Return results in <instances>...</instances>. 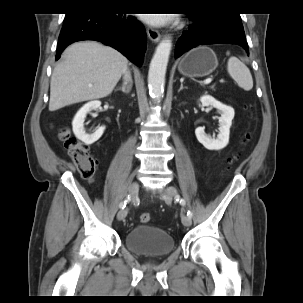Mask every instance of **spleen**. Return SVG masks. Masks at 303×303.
Masks as SVG:
<instances>
[{
	"label": "spleen",
	"mask_w": 303,
	"mask_h": 303,
	"mask_svg": "<svg viewBox=\"0 0 303 303\" xmlns=\"http://www.w3.org/2000/svg\"><path fill=\"white\" fill-rule=\"evenodd\" d=\"M227 71L237 84L245 91H250L253 88V79L250 70L237 57L229 58Z\"/></svg>",
	"instance_id": "obj_1"
}]
</instances>
